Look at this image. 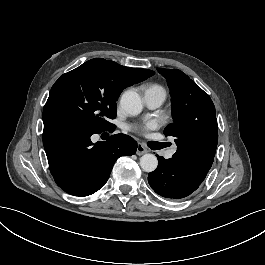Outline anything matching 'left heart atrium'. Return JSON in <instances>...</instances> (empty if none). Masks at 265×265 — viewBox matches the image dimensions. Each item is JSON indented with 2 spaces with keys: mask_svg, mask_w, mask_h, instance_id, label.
Instances as JSON below:
<instances>
[{
  "mask_svg": "<svg viewBox=\"0 0 265 265\" xmlns=\"http://www.w3.org/2000/svg\"><path fill=\"white\" fill-rule=\"evenodd\" d=\"M159 126L158 122L154 120L147 121L143 126L139 128L140 132L145 134L149 129H154Z\"/></svg>",
  "mask_w": 265,
  "mask_h": 265,
  "instance_id": "39dd6f15",
  "label": "left heart atrium"
}]
</instances>
